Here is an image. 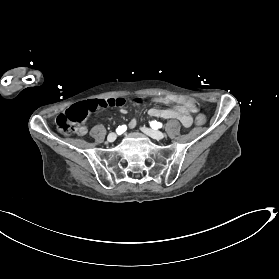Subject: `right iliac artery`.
<instances>
[{"label": "right iliac artery", "instance_id": "right-iliac-artery-1", "mask_svg": "<svg viewBox=\"0 0 279 279\" xmlns=\"http://www.w3.org/2000/svg\"><path fill=\"white\" fill-rule=\"evenodd\" d=\"M127 127L126 125H122V126H119L117 129H116V132L117 134H123L125 131H126Z\"/></svg>", "mask_w": 279, "mask_h": 279}]
</instances>
